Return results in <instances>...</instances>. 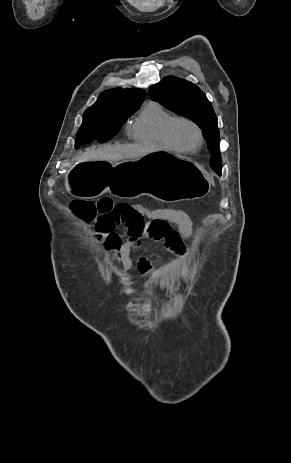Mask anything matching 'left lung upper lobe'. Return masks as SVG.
I'll return each mask as SVG.
<instances>
[{
    "label": "left lung upper lobe",
    "instance_id": "5c2ea615",
    "mask_svg": "<svg viewBox=\"0 0 291 463\" xmlns=\"http://www.w3.org/2000/svg\"><path fill=\"white\" fill-rule=\"evenodd\" d=\"M150 98L159 101L164 107L191 119L201 129L213 154L211 167L218 174L222 171L219 151L218 121L213 107L206 95L189 81L167 76L150 87Z\"/></svg>",
    "mask_w": 291,
    "mask_h": 463
}]
</instances>
